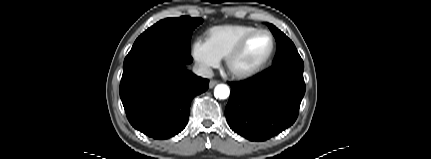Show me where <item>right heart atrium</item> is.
Here are the masks:
<instances>
[{"label":"right heart atrium","instance_id":"1","mask_svg":"<svg viewBox=\"0 0 431 159\" xmlns=\"http://www.w3.org/2000/svg\"><path fill=\"white\" fill-rule=\"evenodd\" d=\"M191 53L205 73H209L220 64V58L211 50L204 40H195L191 46Z\"/></svg>","mask_w":431,"mask_h":159}]
</instances>
